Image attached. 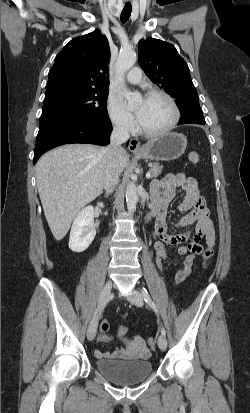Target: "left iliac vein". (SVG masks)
<instances>
[{
    "mask_svg": "<svg viewBox=\"0 0 250 413\" xmlns=\"http://www.w3.org/2000/svg\"><path fill=\"white\" fill-rule=\"evenodd\" d=\"M127 298H128V300H129L132 304H134V305H136V306H138V307H140V306L143 305V296H142V294H141L139 291H137V290H134L131 294H129V295L127 296ZM158 346H159V348H160L161 350H165V349H166V347H167V340H166L165 336H163V335H160V336H159V338H158Z\"/></svg>",
    "mask_w": 250,
    "mask_h": 413,
    "instance_id": "4c4485c4",
    "label": "left iliac vein"
}]
</instances>
